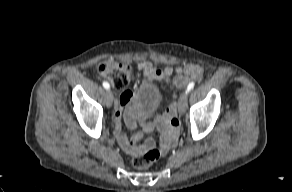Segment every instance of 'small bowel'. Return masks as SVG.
Wrapping results in <instances>:
<instances>
[{
  "instance_id": "small-bowel-1",
  "label": "small bowel",
  "mask_w": 292,
  "mask_h": 192,
  "mask_svg": "<svg viewBox=\"0 0 292 192\" xmlns=\"http://www.w3.org/2000/svg\"><path fill=\"white\" fill-rule=\"evenodd\" d=\"M138 69L142 71L148 82L155 80H165L169 83L170 90L174 95L188 82L201 77L203 69L197 64H186L175 69L166 67L156 68L151 61H142L138 64ZM175 72V76L173 74ZM125 110V120L130 128L135 127L136 110L133 95L130 91L123 92L115 103L113 122L114 134L121 148L131 155L144 154L147 150L154 147L152 140L139 143L142 138L141 131H135L131 138L122 130L123 110ZM176 102H172L168 113L158 115L153 121L141 120L142 131L151 133L155 129L160 132L159 149L161 153H166L175 143L178 135V121L176 118Z\"/></svg>"
}]
</instances>
